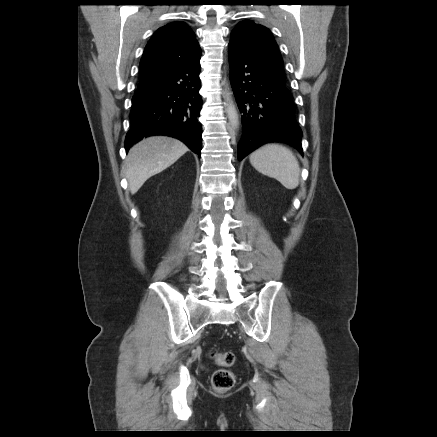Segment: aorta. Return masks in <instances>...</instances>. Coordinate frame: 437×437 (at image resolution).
<instances>
[{"label": "aorta", "instance_id": "1", "mask_svg": "<svg viewBox=\"0 0 437 437\" xmlns=\"http://www.w3.org/2000/svg\"><path fill=\"white\" fill-rule=\"evenodd\" d=\"M224 100L226 101V113L228 116L229 124L231 128L235 131L239 126V116L236 107L233 103L231 92L229 88L226 87L223 93Z\"/></svg>", "mask_w": 437, "mask_h": 437}]
</instances>
